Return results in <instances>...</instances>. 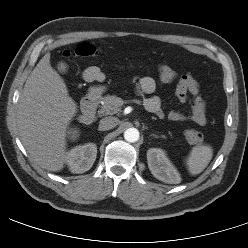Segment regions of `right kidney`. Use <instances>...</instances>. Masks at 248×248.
Listing matches in <instances>:
<instances>
[{
	"label": "right kidney",
	"instance_id": "right-kidney-1",
	"mask_svg": "<svg viewBox=\"0 0 248 248\" xmlns=\"http://www.w3.org/2000/svg\"><path fill=\"white\" fill-rule=\"evenodd\" d=\"M97 147L94 143L76 146L67 153V165L72 173L88 171L96 160Z\"/></svg>",
	"mask_w": 248,
	"mask_h": 248
}]
</instances>
